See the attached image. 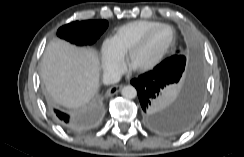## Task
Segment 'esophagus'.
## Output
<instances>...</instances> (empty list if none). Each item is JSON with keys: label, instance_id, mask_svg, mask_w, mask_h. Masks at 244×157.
<instances>
[{"label": "esophagus", "instance_id": "esophagus-1", "mask_svg": "<svg viewBox=\"0 0 244 157\" xmlns=\"http://www.w3.org/2000/svg\"><path fill=\"white\" fill-rule=\"evenodd\" d=\"M123 88V85H114L112 87H110L107 91V95L108 96H113L115 94H117L121 89Z\"/></svg>", "mask_w": 244, "mask_h": 157}]
</instances>
